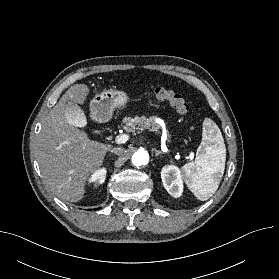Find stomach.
Here are the masks:
<instances>
[{"label":"stomach","mask_w":279,"mask_h":279,"mask_svg":"<svg viewBox=\"0 0 279 279\" xmlns=\"http://www.w3.org/2000/svg\"><path fill=\"white\" fill-rule=\"evenodd\" d=\"M128 94L121 90H105L97 94L90 103L91 117L97 122H107L112 118L114 110L129 102Z\"/></svg>","instance_id":"obj_1"}]
</instances>
